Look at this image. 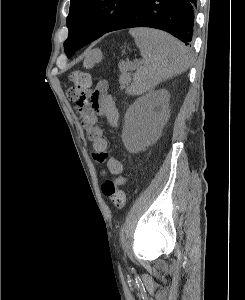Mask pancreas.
<instances>
[{"label": "pancreas", "instance_id": "obj_1", "mask_svg": "<svg viewBox=\"0 0 245 300\" xmlns=\"http://www.w3.org/2000/svg\"><path fill=\"white\" fill-rule=\"evenodd\" d=\"M132 69H134L133 66H129L127 68L122 69L121 75L119 77L121 89H124L125 85H127L131 81L130 73H128L127 71Z\"/></svg>", "mask_w": 245, "mask_h": 300}]
</instances>
